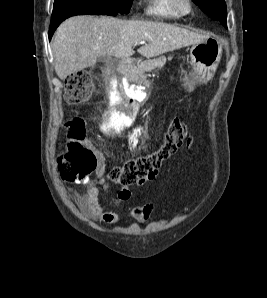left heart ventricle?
Returning <instances> with one entry per match:
<instances>
[{
	"label": "left heart ventricle",
	"instance_id": "b2bd125f",
	"mask_svg": "<svg viewBox=\"0 0 267 298\" xmlns=\"http://www.w3.org/2000/svg\"><path fill=\"white\" fill-rule=\"evenodd\" d=\"M179 4H180L181 8H183V9L187 8V5L184 0H179Z\"/></svg>",
	"mask_w": 267,
	"mask_h": 298
}]
</instances>
